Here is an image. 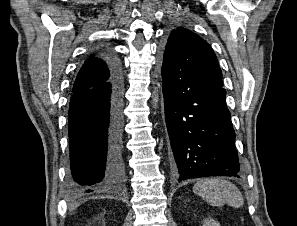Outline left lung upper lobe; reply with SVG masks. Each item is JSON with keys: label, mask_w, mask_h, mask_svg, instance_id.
Here are the masks:
<instances>
[{"label": "left lung upper lobe", "mask_w": 297, "mask_h": 226, "mask_svg": "<svg viewBox=\"0 0 297 226\" xmlns=\"http://www.w3.org/2000/svg\"><path fill=\"white\" fill-rule=\"evenodd\" d=\"M162 72L197 90L223 87L214 51L205 40L185 28L171 32L165 47Z\"/></svg>", "instance_id": "1"}]
</instances>
